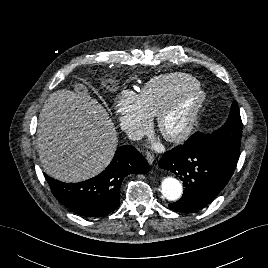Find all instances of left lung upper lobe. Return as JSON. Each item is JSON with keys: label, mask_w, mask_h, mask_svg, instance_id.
<instances>
[{"label": "left lung upper lobe", "mask_w": 268, "mask_h": 268, "mask_svg": "<svg viewBox=\"0 0 268 268\" xmlns=\"http://www.w3.org/2000/svg\"><path fill=\"white\" fill-rule=\"evenodd\" d=\"M242 134V121L237 102L234 101L226 123L212 134L195 133L190 138L193 147L215 150L238 158Z\"/></svg>", "instance_id": "5c2ea615"}]
</instances>
